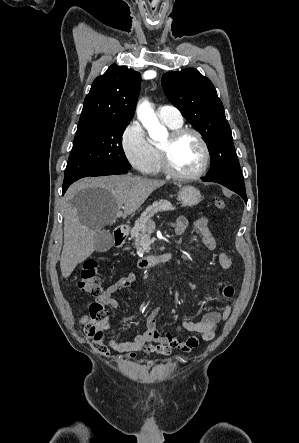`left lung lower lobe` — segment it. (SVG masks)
Segmentation results:
<instances>
[{
    "mask_svg": "<svg viewBox=\"0 0 299 443\" xmlns=\"http://www.w3.org/2000/svg\"><path fill=\"white\" fill-rule=\"evenodd\" d=\"M203 181L208 182H216L219 184L224 185L225 187L229 188L230 190L236 192L239 194L244 201L247 203V196L245 191V185L243 179L233 178V177H222V176H215V177H204L202 178Z\"/></svg>",
    "mask_w": 299,
    "mask_h": 443,
    "instance_id": "1",
    "label": "left lung lower lobe"
}]
</instances>
